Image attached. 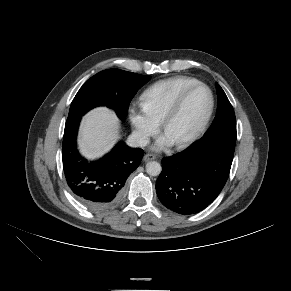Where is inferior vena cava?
Listing matches in <instances>:
<instances>
[{
  "label": "inferior vena cava",
  "mask_w": 291,
  "mask_h": 291,
  "mask_svg": "<svg viewBox=\"0 0 291 291\" xmlns=\"http://www.w3.org/2000/svg\"><path fill=\"white\" fill-rule=\"evenodd\" d=\"M149 138L141 132L134 131L127 139V144L131 147H145L149 144Z\"/></svg>",
  "instance_id": "602c4592"
}]
</instances>
